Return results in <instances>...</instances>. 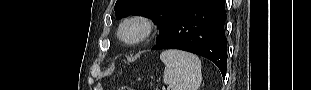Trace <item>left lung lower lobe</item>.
Listing matches in <instances>:
<instances>
[{"instance_id": "0a47b994", "label": "left lung lower lobe", "mask_w": 311, "mask_h": 90, "mask_svg": "<svg viewBox=\"0 0 311 90\" xmlns=\"http://www.w3.org/2000/svg\"><path fill=\"white\" fill-rule=\"evenodd\" d=\"M225 0H199L178 16L152 48L180 49L208 58L226 75Z\"/></svg>"}]
</instances>
